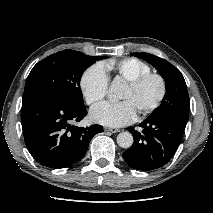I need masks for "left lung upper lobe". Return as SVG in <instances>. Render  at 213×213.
Wrapping results in <instances>:
<instances>
[{
  "instance_id": "obj_1",
  "label": "left lung upper lobe",
  "mask_w": 213,
  "mask_h": 213,
  "mask_svg": "<svg viewBox=\"0 0 213 213\" xmlns=\"http://www.w3.org/2000/svg\"><path fill=\"white\" fill-rule=\"evenodd\" d=\"M131 55L152 64L166 83V94L161 105L148 118L153 119L162 115L173 114L188 119L190 101L187 86L181 72L168 61L155 55L149 53H132Z\"/></svg>"
}]
</instances>
